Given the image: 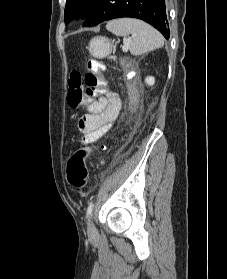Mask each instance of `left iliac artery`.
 <instances>
[{
    "mask_svg": "<svg viewBox=\"0 0 227 279\" xmlns=\"http://www.w3.org/2000/svg\"><path fill=\"white\" fill-rule=\"evenodd\" d=\"M93 207H94V203H90L89 206H88V208H87V217H88V218H90V216H91Z\"/></svg>",
    "mask_w": 227,
    "mask_h": 279,
    "instance_id": "obj_1",
    "label": "left iliac artery"
}]
</instances>
